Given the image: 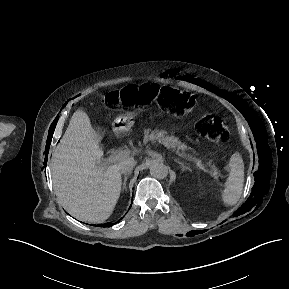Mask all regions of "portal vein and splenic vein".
<instances>
[{
  "mask_svg": "<svg viewBox=\"0 0 289 289\" xmlns=\"http://www.w3.org/2000/svg\"><path fill=\"white\" fill-rule=\"evenodd\" d=\"M164 146L167 147V148H170L169 144H165ZM128 155H129L128 151H119V152L113 154L112 156H110V158H108L104 162V165L109 164V163H113V162H116V161H119V160H122V159L126 158ZM180 155L185 157V158L194 160L196 165L199 167L200 170H202L204 172L207 171L205 166H204V164L202 163V161L200 159L194 158V157H190L189 155H186V154H180Z\"/></svg>",
  "mask_w": 289,
  "mask_h": 289,
  "instance_id": "portal-vein-and-splenic-vein-1",
  "label": "portal vein and splenic vein"
}]
</instances>
